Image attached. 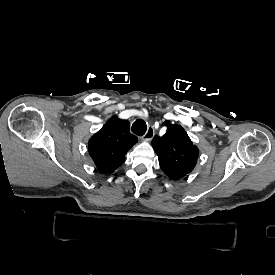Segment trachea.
Listing matches in <instances>:
<instances>
[{"label":"trachea","instance_id":"trachea-1","mask_svg":"<svg viewBox=\"0 0 275 275\" xmlns=\"http://www.w3.org/2000/svg\"><path fill=\"white\" fill-rule=\"evenodd\" d=\"M147 130L146 122L143 119H137L132 125V132L138 136H143Z\"/></svg>","mask_w":275,"mask_h":275}]
</instances>
